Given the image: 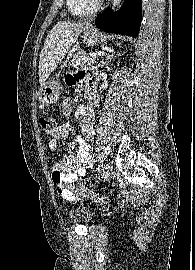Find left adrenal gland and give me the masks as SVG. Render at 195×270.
<instances>
[{
	"label": "left adrenal gland",
	"instance_id": "1",
	"mask_svg": "<svg viewBox=\"0 0 195 270\" xmlns=\"http://www.w3.org/2000/svg\"><path fill=\"white\" fill-rule=\"evenodd\" d=\"M110 53H111V52H110ZM110 53L106 55V61H105V62H104V61L101 62V67H102L103 65H105L106 62H108L109 60H111V59L113 58L114 52L112 51V54H110Z\"/></svg>",
	"mask_w": 195,
	"mask_h": 270
}]
</instances>
